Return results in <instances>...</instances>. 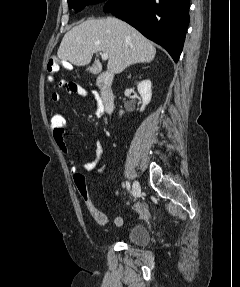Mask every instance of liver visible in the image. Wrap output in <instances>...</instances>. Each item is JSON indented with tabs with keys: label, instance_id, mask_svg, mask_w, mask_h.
I'll return each mask as SVG.
<instances>
[{
	"label": "liver",
	"instance_id": "1",
	"mask_svg": "<svg viewBox=\"0 0 240 287\" xmlns=\"http://www.w3.org/2000/svg\"><path fill=\"white\" fill-rule=\"evenodd\" d=\"M97 52L108 53V71L119 74L132 64L152 61L156 49L129 24L106 17L73 27L64 35L57 56L63 63L83 66Z\"/></svg>",
	"mask_w": 240,
	"mask_h": 287
}]
</instances>
